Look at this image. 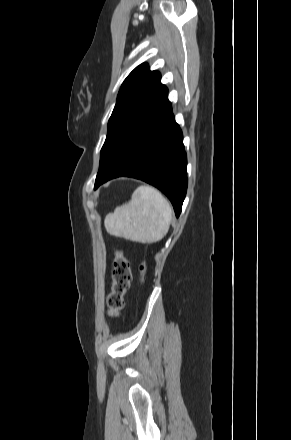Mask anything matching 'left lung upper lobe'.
<instances>
[{
	"mask_svg": "<svg viewBox=\"0 0 291 440\" xmlns=\"http://www.w3.org/2000/svg\"><path fill=\"white\" fill-rule=\"evenodd\" d=\"M157 71H150L146 63L136 67L125 79L108 122V132L100 153V166L112 145L148 106L166 89Z\"/></svg>",
	"mask_w": 291,
	"mask_h": 440,
	"instance_id": "left-lung-upper-lobe-1",
	"label": "left lung upper lobe"
}]
</instances>
